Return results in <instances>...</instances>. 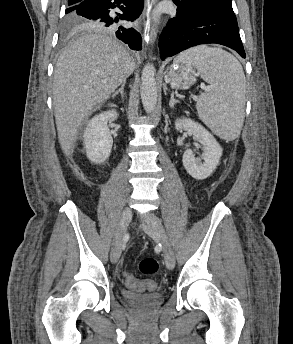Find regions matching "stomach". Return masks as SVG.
I'll return each mask as SVG.
<instances>
[{
  "instance_id": "obj_1",
  "label": "stomach",
  "mask_w": 293,
  "mask_h": 344,
  "mask_svg": "<svg viewBox=\"0 0 293 344\" xmlns=\"http://www.w3.org/2000/svg\"><path fill=\"white\" fill-rule=\"evenodd\" d=\"M199 73V69L192 63L175 59L165 78L175 89H188L196 82Z\"/></svg>"
}]
</instances>
